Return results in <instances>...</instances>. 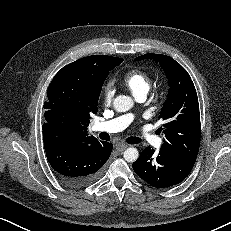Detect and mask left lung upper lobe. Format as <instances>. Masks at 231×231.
Segmentation results:
<instances>
[{
    "instance_id": "obj_1",
    "label": "left lung upper lobe",
    "mask_w": 231,
    "mask_h": 231,
    "mask_svg": "<svg viewBox=\"0 0 231 231\" xmlns=\"http://www.w3.org/2000/svg\"><path fill=\"white\" fill-rule=\"evenodd\" d=\"M152 59L167 75L170 86L159 118L164 121L165 140L160 148L169 154L196 159L200 146L201 126L197 93L188 72L173 58L161 54H144L136 61Z\"/></svg>"
}]
</instances>
